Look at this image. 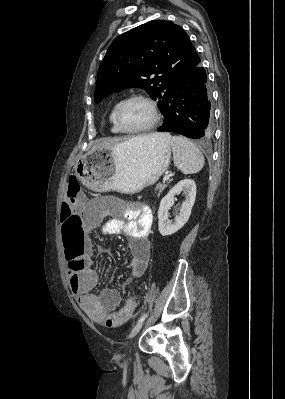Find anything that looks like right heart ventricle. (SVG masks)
Here are the masks:
<instances>
[{
    "label": "right heart ventricle",
    "instance_id": "1",
    "mask_svg": "<svg viewBox=\"0 0 285 399\" xmlns=\"http://www.w3.org/2000/svg\"><path fill=\"white\" fill-rule=\"evenodd\" d=\"M122 100H123V99H118V100H116V101L113 103L112 108H111V111H110V114H109L110 128H111L112 133H115V134L125 133V132H123V131L117 126V123H116V120H115L116 108H117V106L119 105V103H120Z\"/></svg>",
    "mask_w": 285,
    "mask_h": 399
}]
</instances>
